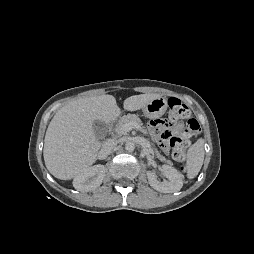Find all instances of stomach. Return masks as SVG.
<instances>
[{"instance_id": "stomach-1", "label": "stomach", "mask_w": 254, "mask_h": 254, "mask_svg": "<svg viewBox=\"0 0 254 254\" xmlns=\"http://www.w3.org/2000/svg\"><path fill=\"white\" fill-rule=\"evenodd\" d=\"M167 106V100L164 97H157L147 103L142 110L146 117L156 119L164 115Z\"/></svg>"}]
</instances>
